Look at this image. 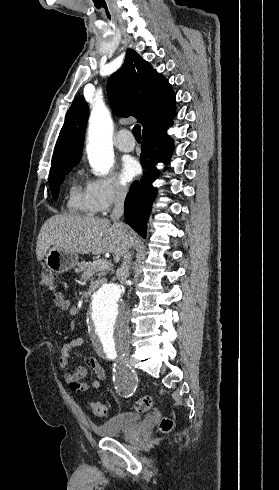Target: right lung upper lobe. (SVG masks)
I'll list each match as a JSON object with an SVG mask.
<instances>
[{
  "label": "right lung upper lobe",
  "mask_w": 279,
  "mask_h": 490,
  "mask_svg": "<svg viewBox=\"0 0 279 490\" xmlns=\"http://www.w3.org/2000/svg\"><path fill=\"white\" fill-rule=\"evenodd\" d=\"M107 93L117 116H135L143 135L172 123L175 95L164 76L129 49L123 66L108 79ZM83 96H78L66 115L51 162V170L78 164L88 119Z\"/></svg>",
  "instance_id": "obj_1"
}]
</instances>
